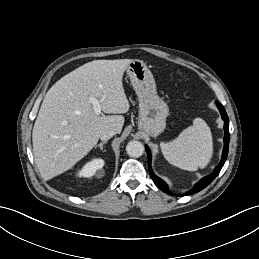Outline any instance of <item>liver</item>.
<instances>
[{
	"instance_id": "6515ba94",
	"label": "liver",
	"mask_w": 259,
	"mask_h": 259,
	"mask_svg": "<svg viewBox=\"0 0 259 259\" xmlns=\"http://www.w3.org/2000/svg\"><path fill=\"white\" fill-rule=\"evenodd\" d=\"M131 61L88 62L48 90L32 132L33 155L44 180L71 169L91 151L105 130L121 133L124 117L95 114L89 98L100 100L104 113L128 112L130 104L122 80Z\"/></svg>"
}]
</instances>
